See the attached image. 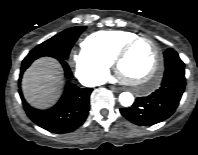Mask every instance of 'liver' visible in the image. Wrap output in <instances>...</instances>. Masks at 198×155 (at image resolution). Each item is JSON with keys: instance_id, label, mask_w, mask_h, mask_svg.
<instances>
[{"instance_id": "obj_1", "label": "liver", "mask_w": 198, "mask_h": 155, "mask_svg": "<svg viewBox=\"0 0 198 155\" xmlns=\"http://www.w3.org/2000/svg\"><path fill=\"white\" fill-rule=\"evenodd\" d=\"M62 68L57 60L44 57L36 60L22 78V91L33 107L46 109L54 105L62 93Z\"/></svg>"}]
</instances>
